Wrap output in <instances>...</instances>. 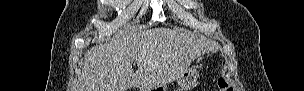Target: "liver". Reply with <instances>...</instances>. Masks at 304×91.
I'll return each instance as SVG.
<instances>
[{
  "mask_svg": "<svg viewBox=\"0 0 304 91\" xmlns=\"http://www.w3.org/2000/svg\"><path fill=\"white\" fill-rule=\"evenodd\" d=\"M210 51L208 42L188 32L123 31L86 52L76 91H127L132 86L154 90L177 80L195 58Z\"/></svg>",
  "mask_w": 304,
  "mask_h": 91,
  "instance_id": "1",
  "label": "liver"
}]
</instances>
